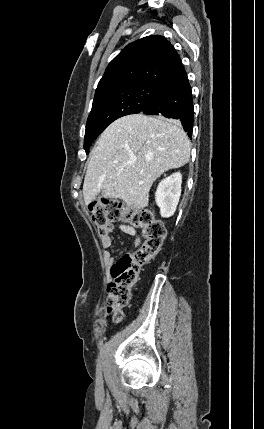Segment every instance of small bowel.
I'll return each instance as SVG.
<instances>
[{"label": "small bowel", "mask_w": 264, "mask_h": 429, "mask_svg": "<svg viewBox=\"0 0 264 429\" xmlns=\"http://www.w3.org/2000/svg\"><path fill=\"white\" fill-rule=\"evenodd\" d=\"M115 226L113 223H108L102 230L99 232L101 244L104 249H110L113 245V239L111 237V233L114 231ZM125 231L128 234L135 235V231L130 228H125ZM141 243V238L139 236H135L134 245L139 246ZM104 260L107 264H112L114 259L108 251L104 252Z\"/></svg>", "instance_id": "c3829d8e"}]
</instances>
